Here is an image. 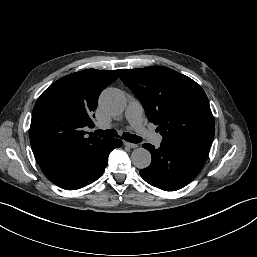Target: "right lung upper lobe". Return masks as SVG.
<instances>
[{
	"instance_id": "cb5924a9",
	"label": "right lung upper lobe",
	"mask_w": 257,
	"mask_h": 257,
	"mask_svg": "<svg viewBox=\"0 0 257 257\" xmlns=\"http://www.w3.org/2000/svg\"><path fill=\"white\" fill-rule=\"evenodd\" d=\"M119 70L88 69L64 76L38 98L30 126V143L41 168L82 153L105 139L85 137L94 126L93 111L103 89L118 78Z\"/></svg>"
}]
</instances>
